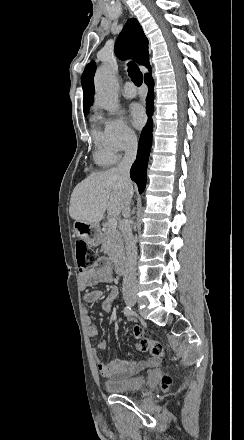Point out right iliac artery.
I'll return each mask as SVG.
<instances>
[{
	"label": "right iliac artery",
	"mask_w": 244,
	"mask_h": 440,
	"mask_svg": "<svg viewBox=\"0 0 244 440\" xmlns=\"http://www.w3.org/2000/svg\"><path fill=\"white\" fill-rule=\"evenodd\" d=\"M123 312H124V315L130 316L132 314V309L130 306H126V307H124Z\"/></svg>",
	"instance_id": "obj_1"
}]
</instances>
